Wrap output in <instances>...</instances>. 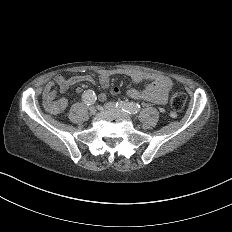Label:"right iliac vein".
<instances>
[{
	"label": "right iliac vein",
	"mask_w": 232,
	"mask_h": 232,
	"mask_svg": "<svg viewBox=\"0 0 232 232\" xmlns=\"http://www.w3.org/2000/svg\"><path fill=\"white\" fill-rule=\"evenodd\" d=\"M90 113L91 114H96L97 113V108L96 107H91L90 108Z\"/></svg>",
	"instance_id": "1"
}]
</instances>
